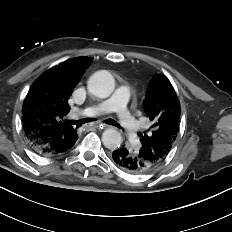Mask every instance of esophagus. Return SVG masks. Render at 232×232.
I'll use <instances>...</instances> for the list:
<instances>
[{
  "label": "esophagus",
  "instance_id": "1",
  "mask_svg": "<svg viewBox=\"0 0 232 232\" xmlns=\"http://www.w3.org/2000/svg\"><path fill=\"white\" fill-rule=\"evenodd\" d=\"M91 126L94 128H98V129H105V128L109 127V125L102 124V123H93Z\"/></svg>",
  "mask_w": 232,
  "mask_h": 232
}]
</instances>
